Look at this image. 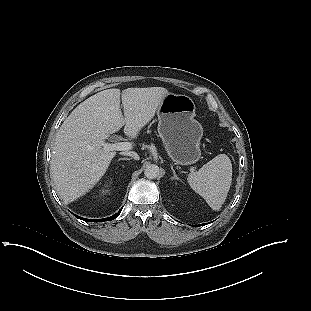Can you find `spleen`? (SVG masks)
<instances>
[{"label":"spleen","instance_id":"spleen-1","mask_svg":"<svg viewBox=\"0 0 311 311\" xmlns=\"http://www.w3.org/2000/svg\"><path fill=\"white\" fill-rule=\"evenodd\" d=\"M190 187L202 196L213 210L224 204L232 181V164L229 157L220 154L189 174Z\"/></svg>","mask_w":311,"mask_h":311}]
</instances>
